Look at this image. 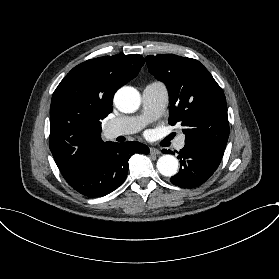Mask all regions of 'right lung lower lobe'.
Instances as JSON below:
<instances>
[{
    "instance_id": "98d812e1",
    "label": "right lung lower lobe",
    "mask_w": 279,
    "mask_h": 279,
    "mask_svg": "<svg viewBox=\"0 0 279 279\" xmlns=\"http://www.w3.org/2000/svg\"><path fill=\"white\" fill-rule=\"evenodd\" d=\"M134 153L148 154L149 148L137 141H109L90 165L66 181L89 198L105 196L125 181L128 160Z\"/></svg>"
}]
</instances>
